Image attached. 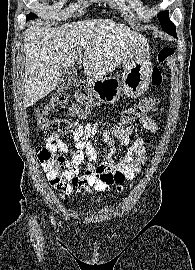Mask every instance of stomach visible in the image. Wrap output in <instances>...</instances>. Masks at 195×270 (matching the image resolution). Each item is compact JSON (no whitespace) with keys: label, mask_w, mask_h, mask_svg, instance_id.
Wrapping results in <instances>:
<instances>
[{"label":"stomach","mask_w":195,"mask_h":270,"mask_svg":"<svg viewBox=\"0 0 195 270\" xmlns=\"http://www.w3.org/2000/svg\"><path fill=\"white\" fill-rule=\"evenodd\" d=\"M133 57L125 62L121 80L117 78H92L89 87L93 95L101 102L116 104L121 94L137 98L148 88L152 73L149 45L142 43Z\"/></svg>","instance_id":"stomach-1"}]
</instances>
